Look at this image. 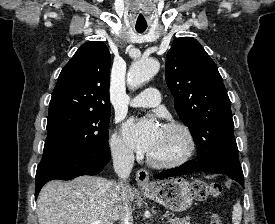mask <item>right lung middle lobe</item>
Here are the masks:
<instances>
[{
  "label": "right lung middle lobe",
  "mask_w": 275,
  "mask_h": 224,
  "mask_svg": "<svg viewBox=\"0 0 275 224\" xmlns=\"http://www.w3.org/2000/svg\"><path fill=\"white\" fill-rule=\"evenodd\" d=\"M110 114L111 111H63L50 114L43 155L107 146Z\"/></svg>",
  "instance_id": "obj_1"
}]
</instances>
